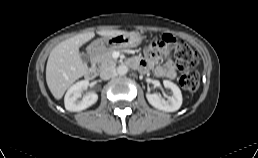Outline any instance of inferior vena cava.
Segmentation results:
<instances>
[{"instance_id":"1","label":"inferior vena cava","mask_w":258,"mask_h":158,"mask_svg":"<svg viewBox=\"0 0 258 158\" xmlns=\"http://www.w3.org/2000/svg\"><path fill=\"white\" fill-rule=\"evenodd\" d=\"M116 74V68L114 66L103 67L100 71V78L108 80Z\"/></svg>"}]
</instances>
